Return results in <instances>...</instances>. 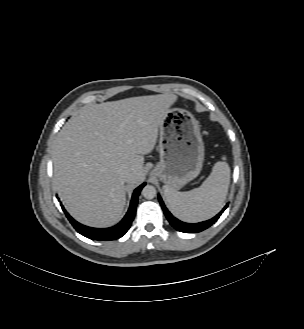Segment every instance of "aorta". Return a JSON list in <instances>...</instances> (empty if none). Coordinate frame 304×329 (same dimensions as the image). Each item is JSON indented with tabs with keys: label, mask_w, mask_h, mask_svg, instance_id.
Listing matches in <instances>:
<instances>
[{
	"label": "aorta",
	"mask_w": 304,
	"mask_h": 329,
	"mask_svg": "<svg viewBox=\"0 0 304 329\" xmlns=\"http://www.w3.org/2000/svg\"><path fill=\"white\" fill-rule=\"evenodd\" d=\"M142 195L146 199H153L156 196V189H155V187L152 186V185H146L142 189Z\"/></svg>",
	"instance_id": "obj_1"
}]
</instances>
